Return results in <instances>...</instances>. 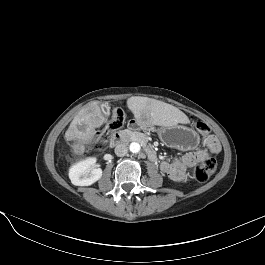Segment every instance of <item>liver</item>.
Here are the masks:
<instances>
[{"label": "liver", "mask_w": 265, "mask_h": 265, "mask_svg": "<svg viewBox=\"0 0 265 265\" xmlns=\"http://www.w3.org/2000/svg\"><path fill=\"white\" fill-rule=\"evenodd\" d=\"M127 107L139 122L156 126H175L188 124V116L173 105L148 97L132 96L127 99ZM104 122V116L98 101L86 104L74 117L65 133L67 140L78 139L72 146L74 152L83 151L84 144H88L95 136V129ZM81 127V129H80Z\"/></svg>", "instance_id": "1"}]
</instances>
